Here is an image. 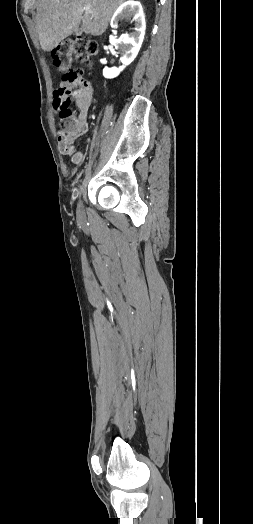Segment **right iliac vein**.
I'll return each instance as SVG.
<instances>
[{
  "instance_id": "63e3f726",
  "label": "right iliac vein",
  "mask_w": 253,
  "mask_h": 524,
  "mask_svg": "<svg viewBox=\"0 0 253 524\" xmlns=\"http://www.w3.org/2000/svg\"><path fill=\"white\" fill-rule=\"evenodd\" d=\"M77 215L79 217L83 216V203L81 200H79L78 205H77Z\"/></svg>"
}]
</instances>
